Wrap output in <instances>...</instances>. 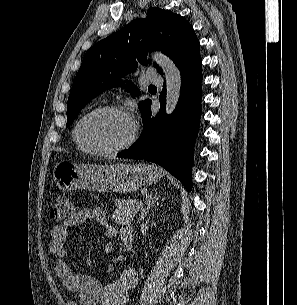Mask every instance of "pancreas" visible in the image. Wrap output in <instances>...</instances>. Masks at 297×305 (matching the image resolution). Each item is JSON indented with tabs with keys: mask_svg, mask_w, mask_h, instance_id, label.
<instances>
[{
	"mask_svg": "<svg viewBox=\"0 0 297 305\" xmlns=\"http://www.w3.org/2000/svg\"><path fill=\"white\" fill-rule=\"evenodd\" d=\"M116 210L112 214V219L115 223L120 225L131 224L136 212L135 204L130 206H124L122 200H115Z\"/></svg>",
	"mask_w": 297,
	"mask_h": 305,
	"instance_id": "cf45deb5",
	"label": "pancreas"
}]
</instances>
